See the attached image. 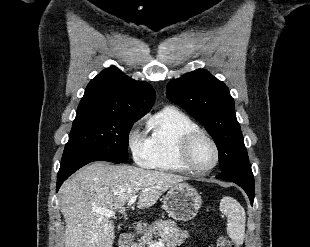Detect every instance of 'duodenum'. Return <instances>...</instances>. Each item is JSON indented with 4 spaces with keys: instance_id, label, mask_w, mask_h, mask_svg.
<instances>
[{
    "instance_id": "1",
    "label": "duodenum",
    "mask_w": 310,
    "mask_h": 247,
    "mask_svg": "<svg viewBox=\"0 0 310 247\" xmlns=\"http://www.w3.org/2000/svg\"><path fill=\"white\" fill-rule=\"evenodd\" d=\"M133 243L132 236L129 233H122L119 237L120 247H131Z\"/></svg>"
}]
</instances>
